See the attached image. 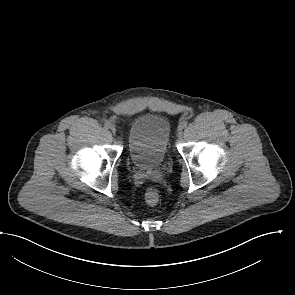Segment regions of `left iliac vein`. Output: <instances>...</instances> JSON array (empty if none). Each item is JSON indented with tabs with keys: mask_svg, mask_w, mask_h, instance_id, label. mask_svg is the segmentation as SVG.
<instances>
[{
	"mask_svg": "<svg viewBox=\"0 0 295 295\" xmlns=\"http://www.w3.org/2000/svg\"><path fill=\"white\" fill-rule=\"evenodd\" d=\"M182 129H183V127L180 125L178 128V137L182 136Z\"/></svg>",
	"mask_w": 295,
	"mask_h": 295,
	"instance_id": "left-iliac-vein-1",
	"label": "left iliac vein"
}]
</instances>
